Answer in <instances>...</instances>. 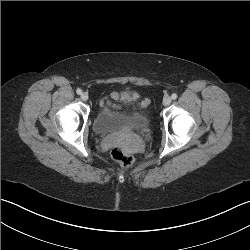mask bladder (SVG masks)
Wrapping results in <instances>:
<instances>
[{"instance_id":"1","label":"bladder","mask_w":250,"mask_h":250,"mask_svg":"<svg viewBox=\"0 0 250 250\" xmlns=\"http://www.w3.org/2000/svg\"><path fill=\"white\" fill-rule=\"evenodd\" d=\"M151 124L147 111H117L108 106L102 107L95 115L93 128L101 136L126 131H141Z\"/></svg>"}]
</instances>
